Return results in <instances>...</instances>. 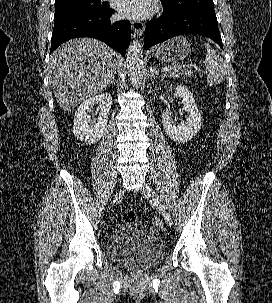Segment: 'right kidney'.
I'll return each mask as SVG.
<instances>
[{
	"label": "right kidney",
	"instance_id": "ca27d5eb",
	"mask_svg": "<svg viewBox=\"0 0 272 303\" xmlns=\"http://www.w3.org/2000/svg\"><path fill=\"white\" fill-rule=\"evenodd\" d=\"M99 103L100 114L97 121H93L89 114L90 107ZM112 105V97L109 93L97 95L85 100L77 109L74 117L73 134L77 139L93 144L103 136L108 112Z\"/></svg>",
	"mask_w": 272,
	"mask_h": 303
}]
</instances>
